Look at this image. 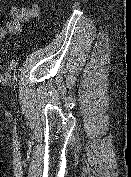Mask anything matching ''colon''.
Instances as JSON below:
<instances>
[{
    "instance_id": "colon-1",
    "label": "colon",
    "mask_w": 131,
    "mask_h": 177,
    "mask_svg": "<svg viewBox=\"0 0 131 177\" xmlns=\"http://www.w3.org/2000/svg\"><path fill=\"white\" fill-rule=\"evenodd\" d=\"M2 66H3V62H2V60L0 59V69L2 68Z\"/></svg>"
}]
</instances>
